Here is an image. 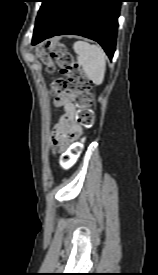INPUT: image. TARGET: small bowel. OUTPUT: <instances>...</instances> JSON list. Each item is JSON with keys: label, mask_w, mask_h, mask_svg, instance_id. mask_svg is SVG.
Listing matches in <instances>:
<instances>
[{"label": "small bowel", "mask_w": 158, "mask_h": 275, "mask_svg": "<svg viewBox=\"0 0 158 275\" xmlns=\"http://www.w3.org/2000/svg\"><path fill=\"white\" fill-rule=\"evenodd\" d=\"M74 94L71 91L61 94L56 104L64 108V115L55 124L51 144L56 149H63L70 142L81 136L82 129L75 122V106L72 103Z\"/></svg>", "instance_id": "c3829d8e"}]
</instances>
